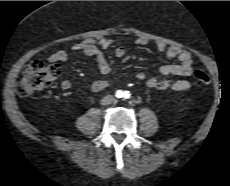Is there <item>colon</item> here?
I'll use <instances>...</instances> for the list:
<instances>
[{
  "mask_svg": "<svg viewBox=\"0 0 230 186\" xmlns=\"http://www.w3.org/2000/svg\"><path fill=\"white\" fill-rule=\"evenodd\" d=\"M59 72L56 65H47L37 60L32 61L23 70L17 87L18 93L21 96H28L49 87L58 78ZM191 75L203 85L211 83L210 77L203 71L195 70Z\"/></svg>",
  "mask_w": 230,
  "mask_h": 186,
  "instance_id": "colon-1",
  "label": "colon"
}]
</instances>
